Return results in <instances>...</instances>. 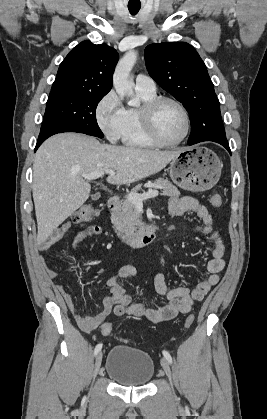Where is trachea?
Returning <instances> with one entry per match:
<instances>
[{"mask_svg":"<svg viewBox=\"0 0 267 419\" xmlns=\"http://www.w3.org/2000/svg\"><path fill=\"white\" fill-rule=\"evenodd\" d=\"M128 9L131 15H136L140 10V6H128Z\"/></svg>","mask_w":267,"mask_h":419,"instance_id":"obj_1","label":"trachea"}]
</instances>
